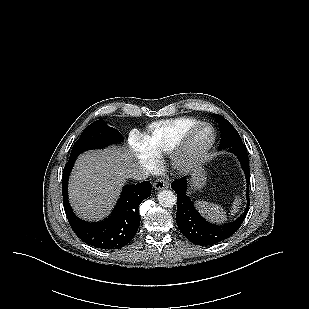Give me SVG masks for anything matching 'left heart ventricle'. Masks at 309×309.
Here are the masks:
<instances>
[{"instance_id":"1","label":"left heart ventricle","mask_w":309,"mask_h":309,"mask_svg":"<svg viewBox=\"0 0 309 309\" xmlns=\"http://www.w3.org/2000/svg\"><path fill=\"white\" fill-rule=\"evenodd\" d=\"M210 138H211V131L206 127L200 128L195 135L194 139L195 147L199 148L206 145L209 142Z\"/></svg>"}]
</instances>
